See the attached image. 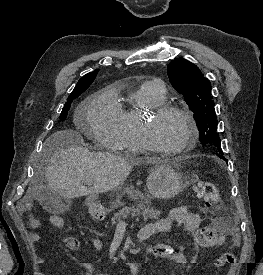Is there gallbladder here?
<instances>
[{"label":"gallbladder","mask_w":263,"mask_h":275,"mask_svg":"<svg viewBox=\"0 0 263 275\" xmlns=\"http://www.w3.org/2000/svg\"><path fill=\"white\" fill-rule=\"evenodd\" d=\"M37 197L42 208L51 214H63L69 207L58 192L49 188L43 189Z\"/></svg>","instance_id":"bac80fb5"}]
</instances>
